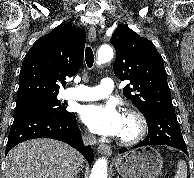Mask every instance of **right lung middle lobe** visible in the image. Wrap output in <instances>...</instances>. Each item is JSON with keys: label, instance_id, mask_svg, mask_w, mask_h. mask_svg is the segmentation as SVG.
I'll return each mask as SVG.
<instances>
[{"label": "right lung middle lobe", "instance_id": "dd1d6c3e", "mask_svg": "<svg viewBox=\"0 0 194 178\" xmlns=\"http://www.w3.org/2000/svg\"><path fill=\"white\" fill-rule=\"evenodd\" d=\"M28 109H41L55 114H65L68 111L57 99V96L36 98L17 102L15 112Z\"/></svg>", "mask_w": 194, "mask_h": 178}]
</instances>
